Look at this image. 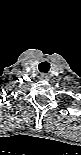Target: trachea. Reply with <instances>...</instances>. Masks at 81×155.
Returning <instances> with one entry per match:
<instances>
[{
  "label": "trachea",
  "mask_w": 81,
  "mask_h": 155,
  "mask_svg": "<svg viewBox=\"0 0 81 155\" xmlns=\"http://www.w3.org/2000/svg\"><path fill=\"white\" fill-rule=\"evenodd\" d=\"M39 71L42 73H47L50 68V64L47 61H43L39 64Z\"/></svg>",
  "instance_id": "1"
}]
</instances>
